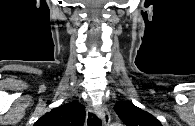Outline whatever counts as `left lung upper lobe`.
<instances>
[{"label": "left lung upper lobe", "mask_w": 195, "mask_h": 126, "mask_svg": "<svg viewBox=\"0 0 195 126\" xmlns=\"http://www.w3.org/2000/svg\"><path fill=\"white\" fill-rule=\"evenodd\" d=\"M114 110L127 126H162L153 115L130 102H117Z\"/></svg>", "instance_id": "obj_1"}]
</instances>
